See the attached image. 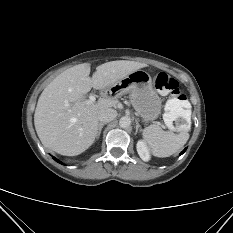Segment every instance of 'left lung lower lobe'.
<instances>
[{
  "label": "left lung lower lobe",
  "mask_w": 233,
  "mask_h": 233,
  "mask_svg": "<svg viewBox=\"0 0 233 233\" xmlns=\"http://www.w3.org/2000/svg\"><path fill=\"white\" fill-rule=\"evenodd\" d=\"M185 151H186V149H184V150L180 153V155L183 154Z\"/></svg>",
  "instance_id": "1"
}]
</instances>
